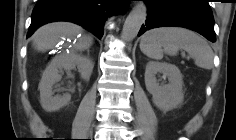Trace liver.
I'll use <instances>...</instances> for the list:
<instances>
[{"instance_id": "liver-1", "label": "liver", "mask_w": 236, "mask_h": 140, "mask_svg": "<svg viewBox=\"0 0 236 140\" xmlns=\"http://www.w3.org/2000/svg\"><path fill=\"white\" fill-rule=\"evenodd\" d=\"M79 34H82V37L79 38L75 49H88L93 43V38L83 34V29L80 26L68 22L44 25L34 33L32 40L35 49L44 52L52 49L60 41L61 37L74 39Z\"/></svg>"}]
</instances>
